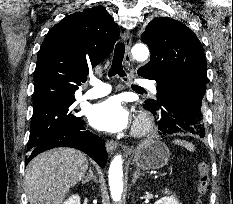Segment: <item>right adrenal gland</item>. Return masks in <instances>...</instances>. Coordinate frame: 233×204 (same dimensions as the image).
I'll return each mask as SVG.
<instances>
[{"label": "right adrenal gland", "mask_w": 233, "mask_h": 204, "mask_svg": "<svg viewBox=\"0 0 233 204\" xmlns=\"http://www.w3.org/2000/svg\"><path fill=\"white\" fill-rule=\"evenodd\" d=\"M90 180H93L94 182H97V179L94 176L91 167L89 168V173L87 174V176L82 180V183L85 184L86 182H89Z\"/></svg>", "instance_id": "right-adrenal-gland-1"}]
</instances>
